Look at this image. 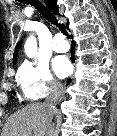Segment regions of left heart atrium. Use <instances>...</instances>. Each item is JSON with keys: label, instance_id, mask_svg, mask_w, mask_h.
Returning <instances> with one entry per match:
<instances>
[{"label": "left heart atrium", "instance_id": "39dd6f15", "mask_svg": "<svg viewBox=\"0 0 117 136\" xmlns=\"http://www.w3.org/2000/svg\"><path fill=\"white\" fill-rule=\"evenodd\" d=\"M53 67L56 74L61 78L66 77L70 72V64L65 57L56 58Z\"/></svg>", "mask_w": 117, "mask_h": 136}]
</instances>
